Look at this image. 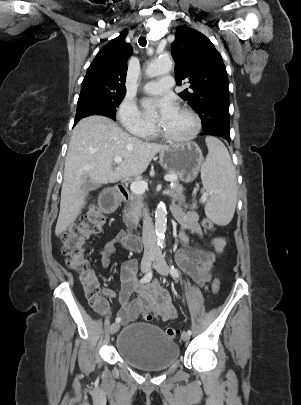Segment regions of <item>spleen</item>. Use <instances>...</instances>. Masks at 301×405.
<instances>
[{"mask_svg":"<svg viewBox=\"0 0 301 405\" xmlns=\"http://www.w3.org/2000/svg\"><path fill=\"white\" fill-rule=\"evenodd\" d=\"M208 156L201 168V179L209 193L205 212L219 225L233 218L237 201L235 168L226 146L215 137H206Z\"/></svg>","mask_w":301,"mask_h":405,"instance_id":"3e777b00","label":"spleen"}]
</instances>
